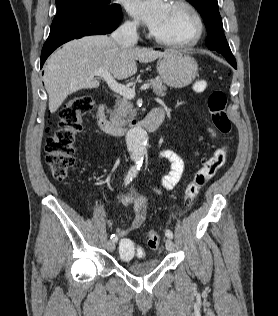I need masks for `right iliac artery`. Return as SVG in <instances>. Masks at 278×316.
Masks as SVG:
<instances>
[{"instance_id":"obj_1","label":"right iliac artery","mask_w":278,"mask_h":316,"mask_svg":"<svg viewBox=\"0 0 278 316\" xmlns=\"http://www.w3.org/2000/svg\"><path fill=\"white\" fill-rule=\"evenodd\" d=\"M136 175H137V169L131 168L125 178V185H128L132 181V179L136 177ZM111 240L116 242L118 240V237L115 234H112Z\"/></svg>"}]
</instances>
